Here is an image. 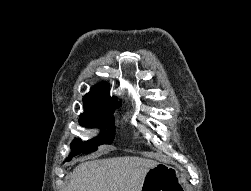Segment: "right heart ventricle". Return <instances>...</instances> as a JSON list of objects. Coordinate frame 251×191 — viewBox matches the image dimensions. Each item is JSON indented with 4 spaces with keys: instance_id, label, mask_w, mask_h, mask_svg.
Masks as SVG:
<instances>
[{
    "instance_id": "right-heart-ventricle-1",
    "label": "right heart ventricle",
    "mask_w": 251,
    "mask_h": 191,
    "mask_svg": "<svg viewBox=\"0 0 251 191\" xmlns=\"http://www.w3.org/2000/svg\"><path fill=\"white\" fill-rule=\"evenodd\" d=\"M131 91H137V89H136V88H134V89H132ZM135 97H137V96H135Z\"/></svg>"
}]
</instances>
